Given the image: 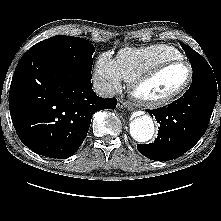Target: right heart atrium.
<instances>
[{
  "instance_id": "right-heart-atrium-1",
  "label": "right heart atrium",
  "mask_w": 221,
  "mask_h": 221,
  "mask_svg": "<svg viewBox=\"0 0 221 221\" xmlns=\"http://www.w3.org/2000/svg\"><path fill=\"white\" fill-rule=\"evenodd\" d=\"M94 77L101 83L109 84L115 89L121 86V76L118 72L116 60L109 53H102L95 63Z\"/></svg>"
}]
</instances>
